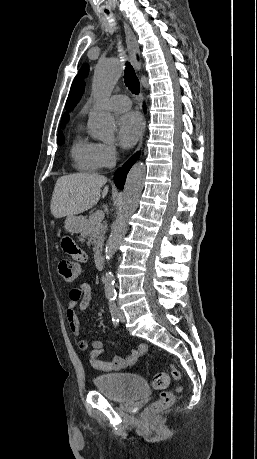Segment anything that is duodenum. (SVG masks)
Instances as JSON below:
<instances>
[{"instance_id": "duodenum-1", "label": "duodenum", "mask_w": 257, "mask_h": 459, "mask_svg": "<svg viewBox=\"0 0 257 459\" xmlns=\"http://www.w3.org/2000/svg\"><path fill=\"white\" fill-rule=\"evenodd\" d=\"M95 265L97 269H102L104 267V257L101 253H98L95 257Z\"/></svg>"}]
</instances>
